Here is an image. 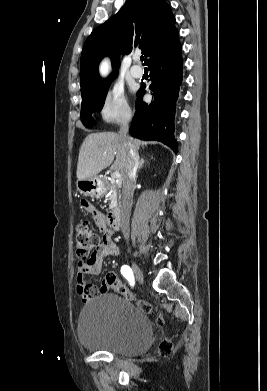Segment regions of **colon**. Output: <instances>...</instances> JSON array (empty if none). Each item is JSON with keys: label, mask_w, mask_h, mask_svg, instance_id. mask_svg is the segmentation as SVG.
Wrapping results in <instances>:
<instances>
[{"label": "colon", "mask_w": 267, "mask_h": 391, "mask_svg": "<svg viewBox=\"0 0 267 391\" xmlns=\"http://www.w3.org/2000/svg\"><path fill=\"white\" fill-rule=\"evenodd\" d=\"M76 254L81 261L89 259L94 251L100 246V236L93 230L87 222H81L76 229ZM108 283L110 288L130 301L136 302L145 312H151L153 307L150 303L138 298L133 292L128 290L126 285L114 273H108ZM159 320H163V315L159 314ZM173 345L170 341H164L160 345L163 354H169Z\"/></svg>", "instance_id": "obj_1"}]
</instances>
